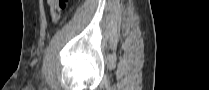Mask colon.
Here are the masks:
<instances>
[{"mask_svg":"<svg viewBox=\"0 0 209 90\" xmlns=\"http://www.w3.org/2000/svg\"><path fill=\"white\" fill-rule=\"evenodd\" d=\"M49 12L53 22H58L62 19L64 12L68 6V0H49Z\"/></svg>","mask_w":209,"mask_h":90,"instance_id":"obj_1","label":"colon"}]
</instances>
